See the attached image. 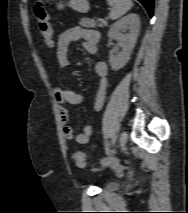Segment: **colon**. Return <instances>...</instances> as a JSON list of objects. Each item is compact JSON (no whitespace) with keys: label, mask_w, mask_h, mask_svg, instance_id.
<instances>
[{"label":"colon","mask_w":188,"mask_h":213,"mask_svg":"<svg viewBox=\"0 0 188 213\" xmlns=\"http://www.w3.org/2000/svg\"><path fill=\"white\" fill-rule=\"evenodd\" d=\"M33 13L37 22L38 30L41 38L45 42V44L49 47L53 45V31L50 23V17L46 8V4L44 1H38L33 6ZM75 164L83 168L86 165L85 157L81 152H77L74 155ZM104 165H114L118 166L122 164L120 161H112L110 159L103 160Z\"/></svg>","instance_id":"obj_1"}]
</instances>
